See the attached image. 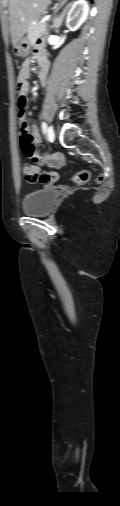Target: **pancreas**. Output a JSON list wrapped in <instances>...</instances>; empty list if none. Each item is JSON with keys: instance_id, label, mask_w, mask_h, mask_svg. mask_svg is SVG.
Segmentation results:
<instances>
[{"instance_id": "1", "label": "pancreas", "mask_w": 120, "mask_h": 506, "mask_svg": "<svg viewBox=\"0 0 120 506\" xmlns=\"http://www.w3.org/2000/svg\"><path fill=\"white\" fill-rule=\"evenodd\" d=\"M46 26H47L46 22H44V23L37 22L35 24H32V23L30 24V26L27 29V34H28V40L31 45H33L35 43V41L39 35H41L42 33H44L46 31V29H47Z\"/></svg>"}]
</instances>
